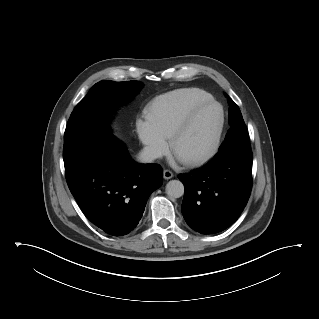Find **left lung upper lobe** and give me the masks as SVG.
<instances>
[{
	"instance_id": "1",
	"label": "left lung upper lobe",
	"mask_w": 319,
	"mask_h": 319,
	"mask_svg": "<svg viewBox=\"0 0 319 319\" xmlns=\"http://www.w3.org/2000/svg\"><path fill=\"white\" fill-rule=\"evenodd\" d=\"M229 104L230 129L228 130L225 140L220 146L218 153L229 151L234 148H251L248 138V130L242 118L240 109L231 98H229Z\"/></svg>"
}]
</instances>
